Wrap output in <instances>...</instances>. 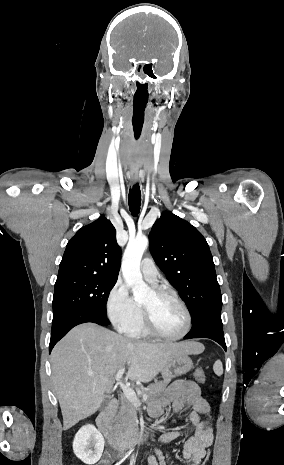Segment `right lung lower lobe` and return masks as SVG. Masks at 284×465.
<instances>
[{
    "label": "right lung lower lobe",
    "instance_id": "right-lung-lower-lobe-1",
    "mask_svg": "<svg viewBox=\"0 0 284 465\" xmlns=\"http://www.w3.org/2000/svg\"><path fill=\"white\" fill-rule=\"evenodd\" d=\"M86 322H93L103 326L110 324L107 317L101 313L92 311H73L66 313L60 318L52 321L49 353H51L55 344L61 338H63L74 326Z\"/></svg>",
    "mask_w": 284,
    "mask_h": 465
}]
</instances>
